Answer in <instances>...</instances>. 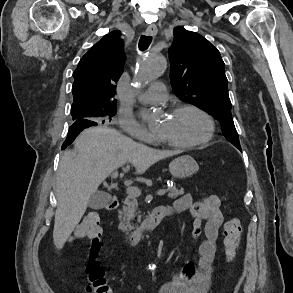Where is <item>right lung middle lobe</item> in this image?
<instances>
[{"label": "right lung middle lobe", "mask_w": 293, "mask_h": 293, "mask_svg": "<svg viewBox=\"0 0 293 293\" xmlns=\"http://www.w3.org/2000/svg\"><path fill=\"white\" fill-rule=\"evenodd\" d=\"M71 115L74 121L79 119H92L111 121V118L115 115V106L96 108L91 110H71Z\"/></svg>", "instance_id": "1"}]
</instances>
